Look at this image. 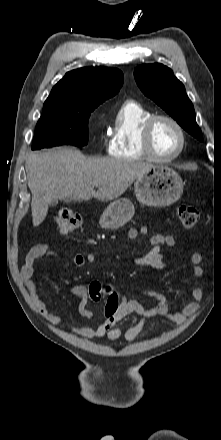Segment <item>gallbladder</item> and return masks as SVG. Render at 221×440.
<instances>
[{"label": "gallbladder", "instance_id": "gallbladder-1", "mask_svg": "<svg viewBox=\"0 0 221 440\" xmlns=\"http://www.w3.org/2000/svg\"><path fill=\"white\" fill-rule=\"evenodd\" d=\"M57 203H58V199H54L51 201L50 205L55 206V205H57Z\"/></svg>", "mask_w": 221, "mask_h": 440}]
</instances>
